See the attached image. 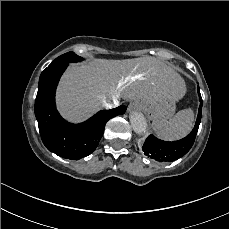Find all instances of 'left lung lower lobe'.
<instances>
[{
  "label": "left lung lower lobe",
  "mask_w": 229,
  "mask_h": 229,
  "mask_svg": "<svg viewBox=\"0 0 229 229\" xmlns=\"http://www.w3.org/2000/svg\"><path fill=\"white\" fill-rule=\"evenodd\" d=\"M200 100L199 112L193 130L185 138L166 142L157 139L153 135H149L145 140L142 150L146 156L155 159L159 162H172L184 156L194 144L198 128L201 122L202 98L200 95L199 86L197 87Z\"/></svg>",
  "instance_id": "1"
}]
</instances>
